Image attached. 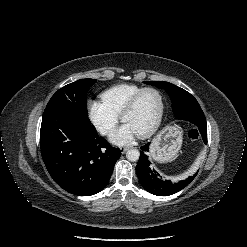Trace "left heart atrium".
I'll use <instances>...</instances> for the list:
<instances>
[{"label":"left heart atrium","mask_w":247,"mask_h":247,"mask_svg":"<svg viewBox=\"0 0 247 247\" xmlns=\"http://www.w3.org/2000/svg\"><path fill=\"white\" fill-rule=\"evenodd\" d=\"M137 135L136 131L125 123L111 134L110 140L114 144L125 145L132 142Z\"/></svg>","instance_id":"39dd6f15"}]
</instances>
